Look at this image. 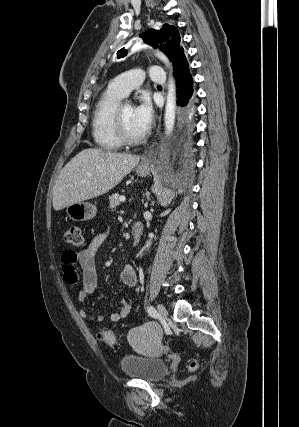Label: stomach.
Segmentation results:
<instances>
[{
  "instance_id": "0dacf381",
  "label": "stomach",
  "mask_w": 299,
  "mask_h": 427,
  "mask_svg": "<svg viewBox=\"0 0 299 427\" xmlns=\"http://www.w3.org/2000/svg\"><path fill=\"white\" fill-rule=\"evenodd\" d=\"M136 174L141 177H145L149 174V167L138 166ZM66 213L73 221H86L94 218L97 213L95 205L88 202H77L70 204L66 207Z\"/></svg>"
}]
</instances>
